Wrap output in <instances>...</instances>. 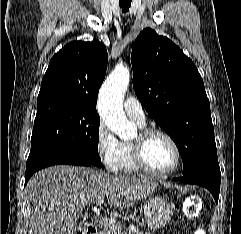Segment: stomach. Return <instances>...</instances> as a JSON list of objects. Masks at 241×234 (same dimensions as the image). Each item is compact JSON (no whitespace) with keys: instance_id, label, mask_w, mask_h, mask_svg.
<instances>
[{"instance_id":"1","label":"stomach","mask_w":241,"mask_h":234,"mask_svg":"<svg viewBox=\"0 0 241 234\" xmlns=\"http://www.w3.org/2000/svg\"><path fill=\"white\" fill-rule=\"evenodd\" d=\"M143 211L148 225L153 228H160L167 224L173 214V205L164 197L153 196L143 204Z\"/></svg>"}]
</instances>
